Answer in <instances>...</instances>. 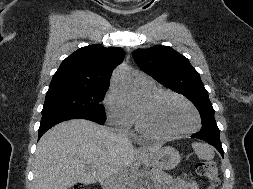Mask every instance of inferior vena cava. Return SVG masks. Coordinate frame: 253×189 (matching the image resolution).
<instances>
[{
	"mask_svg": "<svg viewBox=\"0 0 253 189\" xmlns=\"http://www.w3.org/2000/svg\"><path fill=\"white\" fill-rule=\"evenodd\" d=\"M127 145L131 143L124 138ZM128 183V172L126 170H116L110 173L107 183V189H126Z\"/></svg>",
	"mask_w": 253,
	"mask_h": 189,
	"instance_id": "inferior-vena-cava-1",
	"label": "inferior vena cava"
}]
</instances>
